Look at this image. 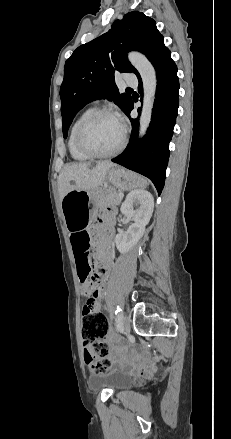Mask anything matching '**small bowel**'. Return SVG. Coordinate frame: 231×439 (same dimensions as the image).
I'll list each match as a JSON object with an SVG mask.
<instances>
[{"mask_svg": "<svg viewBox=\"0 0 231 439\" xmlns=\"http://www.w3.org/2000/svg\"><path fill=\"white\" fill-rule=\"evenodd\" d=\"M108 230L110 235H112L113 234L112 229L109 228ZM101 240L102 241L98 243V249L94 253L91 260L90 259L91 243L87 231L77 230V231H73L70 235V243H71L75 264L77 267V272L79 273L80 268L86 266L87 264H90L95 268L97 284L94 286L93 290L91 291L90 299H88V301L85 304L92 311H96V312H99L101 310L102 297L104 293L103 284L106 281L108 275L107 270H105L103 273H100L99 267L101 263L108 264L113 256L112 247L109 245V239L106 237L105 238L101 237ZM106 342L109 345H111L112 339L107 338ZM91 350H92L91 348L84 349V354H86L87 352H91ZM149 368L150 367L145 364L142 366L141 371L146 372L149 370Z\"/></svg>", "mask_w": 231, "mask_h": 439, "instance_id": "c3829d8e", "label": "small bowel"}]
</instances>
